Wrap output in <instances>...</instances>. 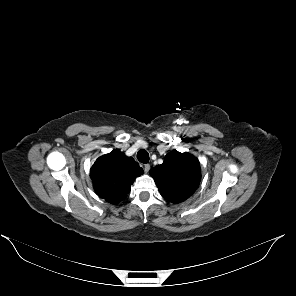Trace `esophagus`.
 Listing matches in <instances>:
<instances>
[{"instance_id":"34e87169","label":"esophagus","mask_w":296,"mask_h":296,"mask_svg":"<svg viewBox=\"0 0 296 296\" xmlns=\"http://www.w3.org/2000/svg\"><path fill=\"white\" fill-rule=\"evenodd\" d=\"M149 170H150V165H149V164H145V165H144V171H145L146 173H148Z\"/></svg>"}]
</instances>
